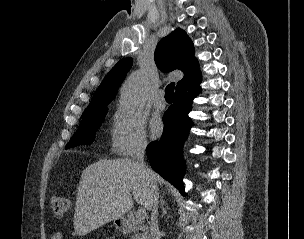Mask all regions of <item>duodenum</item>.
Instances as JSON below:
<instances>
[{
    "mask_svg": "<svg viewBox=\"0 0 304 239\" xmlns=\"http://www.w3.org/2000/svg\"><path fill=\"white\" fill-rule=\"evenodd\" d=\"M119 230L127 235L136 233L140 239H149L148 227L136 225L129 220L121 219L117 222Z\"/></svg>",
    "mask_w": 304,
    "mask_h": 239,
    "instance_id": "1",
    "label": "duodenum"
}]
</instances>
